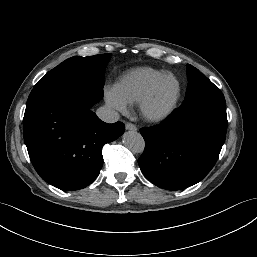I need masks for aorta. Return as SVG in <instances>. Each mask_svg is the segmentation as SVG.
<instances>
[{"label": "aorta", "instance_id": "762f6f07", "mask_svg": "<svg viewBox=\"0 0 257 257\" xmlns=\"http://www.w3.org/2000/svg\"><path fill=\"white\" fill-rule=\"evenodd\" d=\"M122 142L126 148L135 153H142L145 147L144 139L137 131L125 132Z\"/></svg>", "mask_w": 257, "mask_h": 257}]
</instances>
